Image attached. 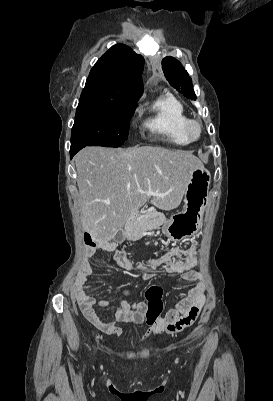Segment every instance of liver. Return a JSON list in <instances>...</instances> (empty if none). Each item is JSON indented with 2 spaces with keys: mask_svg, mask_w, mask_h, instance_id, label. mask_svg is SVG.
Here are the masks:
<instances>
[{
  "mask_svg": "<svg viewBox=\"0 0 273 401\" xmlns=\"http://www.w3.org/2000/svg\"><path fill=\"white\" fill-rule=\"evenodd\" d=\"M81 223L97 243L111 241L131 213L151 198L162 211L179 207L193 168L203 166L191 150L163 146H85L75 156ZM153 190L155 194H146Z\"/></svg>",
  "mask_w": 273,
  "mask_h": 401,
  "instance_id": "liver-1",
  "label": "liver"
}]
</instances>
